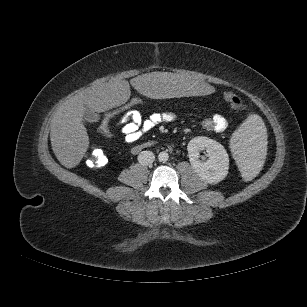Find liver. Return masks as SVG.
<instances>
[{"label":"liver","instance_id":"liver-1","mask_svg":"<svg viewBox=\"0 0 307 307\" xmlns=\"http://www.w3.org/2000/svg\"><path fill=\"white\" fill-rule=\"evenodd\" d=\"M131 84L137 92L151 98L187 97L197 93L212 96L217 86L212 81H197L186 74L152 72L137 75ZM130 97L126 80L87 88L65 101L51 121L50 140L58 161L66 168L77 166L89 147L87 130L82 123L86 107L104 112L124 104Z\"/></svg>","mask_w":307,"mask_h":307}]
</instances>
